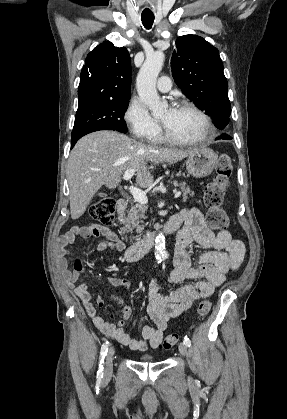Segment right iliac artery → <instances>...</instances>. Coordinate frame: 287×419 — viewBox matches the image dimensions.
I'll return each mask as SVG.
<instances>
[{"label": "right iliac artery", "instance_id": "1", "mask_svg": "<svg viewBox=\"0 0 287 419\" xmlns=\"http://www.w3.org/2000/svg\"><path fill=\"white\" fill-rule=\"evenodd\" d=\"M108 346H109V342L106 341L101 347L100 357H99L100 363H99V368H98V371H97V378L98 379L103 378V369H104L103 368V363H104V358H105V356L107 355V352H108Z\"/></svg>", "mask_w": 287, "mask_h": 419}]
</instances>
